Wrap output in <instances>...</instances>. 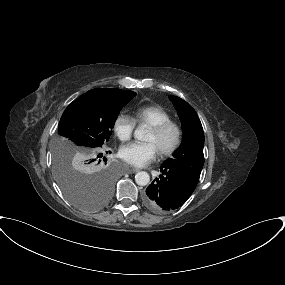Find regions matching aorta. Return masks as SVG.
<instances>
[{
	"label": "aorta",
	"instance_id": "1",
	"mask_svg": "<svg viewBox=\"0 0 285 285\" xmlns=\"http://www.w3.org/2000/svg\"><path fill=\"white\" fill-rule=\"evenodd\" d=\"M146 134H147V128L145 126H139L134 131L135 138L141 141L145 140ZM135 181L138 185L145 186L149 183L150 176L147 172L140 171L135 175Z\"/></svg>",
	"mask_w": 285,
	"mask_h": 285
}]
</instances>
